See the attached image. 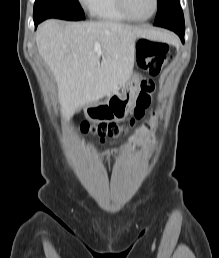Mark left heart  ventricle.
<instances>
[{
	"label": "left heart ventricle",
	"mask_w": 219,
	"mask_h": 258,
	"mask_svg": "<svg viewBox=\"0 0 219 258\" xmlns=\"http://www.w3.org/2000/svg\"><path fill=\"white\" fill-rule=\"evenodd\" d=\"M130 13L138 18L149 16L154 9V0H126Z\"/></svg>",
	"instance_id": "b2bd125f"
}]
</instances>
